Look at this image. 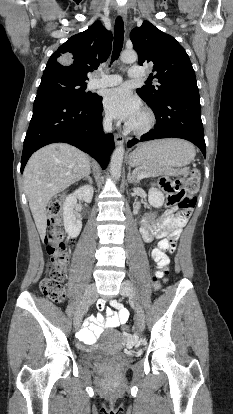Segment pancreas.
Wrapping results in <instances>:
<instances>
[{"instance_id": "pancreas-1", "label": "pancreas", "mask_w": 233, "mask_h": 414, "mask_svg": "<svg viewBox=\"0 0 233 414\" xmlns=\"http://www.w3.org/2000/svg\"><path fill=\"white\" fill-rule=\"evenodd\" d=\"M161 174H164V173L160 172V171H157V170H153V169L148 168V167H140V168L135 170V175L137 177L140 176V175H143V178L156 177V176H159ZM166 174H169V175L184 174L186 176V175H188V172L187 171L179 172L177 170H174V171H171V172H167Z\"/></svg>"}]
</instances>
